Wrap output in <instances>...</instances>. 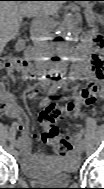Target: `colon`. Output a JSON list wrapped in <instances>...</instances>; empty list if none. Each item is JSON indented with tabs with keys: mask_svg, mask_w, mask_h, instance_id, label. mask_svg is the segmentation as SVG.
<instances>
[{
	"mask_svg": "<svg viewBox=\"0 0 104 189\" xmlns=\"http://www.w3.org/2000/svg\"><path fill=\"white\" fill-rule=\"evenodd\" d=\"M89 40L92 46V71L97 79L103 77V51L104 37L100 34L89 35ZM13 64L11 60H5L3 66L7 67ZM1 109L6 107V100L0 93ZM73 108V103L69 102L66 105H60L52 102L46 106L39 114V121L43 126V130L39 136V141L54 147L59 155H67L73 149L72 141L65 136L59 134V129L56 125L57 119L64 113Z\"/></svg>",
	"mask_w": 104,
	"mask_h": 189,
	"instance_id": "1",
	"label": "colon"
}]
</instances>
